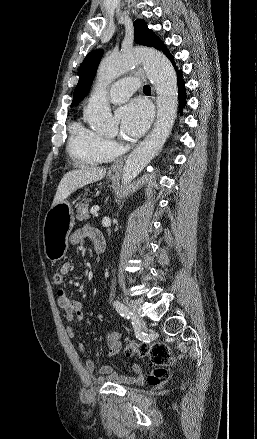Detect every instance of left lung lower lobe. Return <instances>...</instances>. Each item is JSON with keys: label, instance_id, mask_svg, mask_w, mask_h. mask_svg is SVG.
Here are the masks:
<instances>
[{"label": "left lung lower lobe", "instance_id": "0a47b994", "mask_svg": "<svg viewBox=\"0 0 257 439\" xmlns=\"http://www.w3.org/2000/svg\"><path fill=\"white\" fill-rule=\"evenodd\" d=\"M163 53L169 58V60L171 61L172 65L174 66L175 70L177 71V66L175 65L174 62V58L173 56L169 53V51L167 49L163 50ZM182 71L179 70L178 71V75H177V81H178V88H179V102H180V112H182L183 107L185 106V99H186V94H185V88H184V80L182 79Z\"/></svg>", "mask_w": 257, "mask_h": 439}]
</instances>
